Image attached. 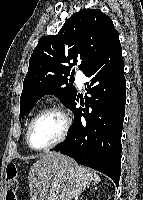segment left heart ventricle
<instances>
[{"instance_id": "left-heart-ventricle-1", "label": "left heart ventricle", "mask_w": 143, "mask_h": 200, "mask_svg": "<svg viewBox=\"0 0 143 200\" xmlns=\"http://www.w3.org/2000/svg\"><path fill=\"white\" fill-rule=\"evenodd\" d=\"M64 125V119L58 113L42 116L32 127L30 134L32 145L40 148L56 141L61 136Z\"/></svg>"}]
</instances>
